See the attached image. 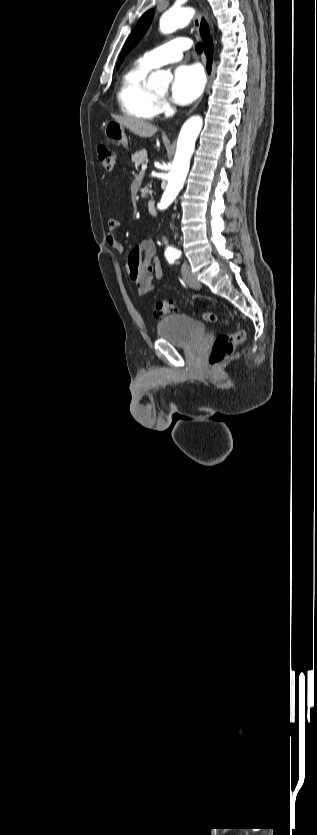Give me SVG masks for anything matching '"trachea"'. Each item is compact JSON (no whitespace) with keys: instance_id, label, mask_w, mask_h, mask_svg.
<instances>
[{"instance_id":"1","label":"trachea","mask_w":317,"mask_h":835,"mask_svg":"<svg viewBox=\"0 0 317 835\" xmlns=\"http://www.w3.org/2000/svg\"><path fill=\"white\" fill-rule=\"evenodd\" d=\"M195 50H196L197 53H202L203 52V43H201V42L197 43L196 46H195Z\"/></svg>"}]
</instances>
